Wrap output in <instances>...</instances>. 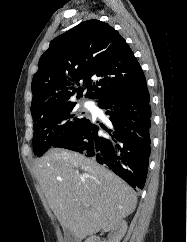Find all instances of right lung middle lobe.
<instances>
[{"label":"right lung middle lobe","instance_id":"right-lung-middle-lobe-1","mask_svg":"<svg viewBox=\"0 0 187 242\" xmlns=\"http://www.w3.org/2000/svg\"><path fill=\"white\" fill-rule=\"evenodd\" d=\"M85 120L76 111L74 102L33 117L34 154L41 157L54 144L73 134Z\"/></svg>","mask_w":187,"mask_h":242}]
</instances>
